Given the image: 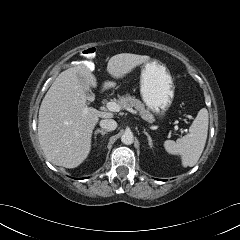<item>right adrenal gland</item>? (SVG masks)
<instances>
[{
    "instance_id": "right-adrenal-gland-1",
    "label": "right adrenal gland",
    "mask_w": 240,
    "mask_h": 240,
    "mask_svg": "<svg viewBox=\"0 0 240 240\" xmlns=\"http://www.w3.org/2000/svg\"><path fill=\"white\" fill-rule=\"evenodd\" d=\"M101 134L102 136H104L105 134H107V131H104V130H101V129H97L96 131H95V135H97V134Z\"/></svg>"
}]
</instances>
